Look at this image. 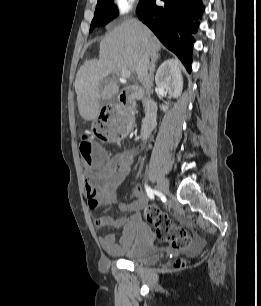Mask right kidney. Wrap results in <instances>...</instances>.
I'll use <instances>...</instances> for the list:
<instances>
[{"label": "right kidney", "instance_id": "obj_1", "mask_svg": "<svg viewBox=\"0 0 261 306\" xmlns=\"http://www.w3.org/2000/svg\"><path fill=\"white\" fill-rule=\"evenodd\" d=\"M155 82L158 87L164 88L170 96L178 98L183 89V78L178 61L174 59L164 61L157 70ZM160 108L164 112L168 110L167 105H161Z\"/></svg>", "mask_w": 261, "mask_h": 306}]
</instances>
